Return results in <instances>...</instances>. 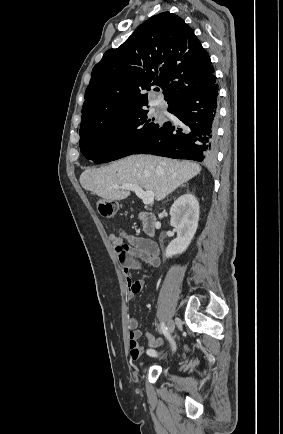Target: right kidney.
I'll use <instances>...</instances> for the list:
<instances>
[{"mask_svg":"<svg viewBox=\"0 0 283 434\" xmlns=\"http://www.w3.org/2000/svg\"><path fill=\"white\" fill-rule=\"evenodd\" d=\"M199 211V203L193 194L182 195L173 203L170 223L177 231V238L167 246V258L181 254L188 248L198 228Z\"/></svg>","mask_w":283,"mask_h":434,"instance_id":"right-kidney-1","label":"right kidney"}]
</instances>
